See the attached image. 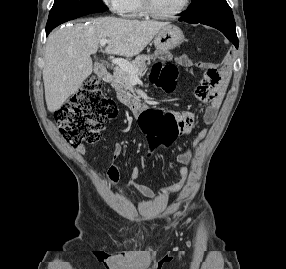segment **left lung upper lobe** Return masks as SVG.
Instances as JSON below:
<instances>
[{"label": "left lung upper lobe", "instance_id": "left-lung-upper-lobe-1", "mask_svg": "<svg viewBox=\"0 0 286 269\" xmlns=\"http://www.w3.org/2000/svg\"><path fill=\"white\" fill-rule=\"evenodd\" d=\"M180 19L188 23L216 22L235 26L232 10L226 0H192Z\"/></svg>", "mask_w": 286, "mask_h": 269}]
</instances>
